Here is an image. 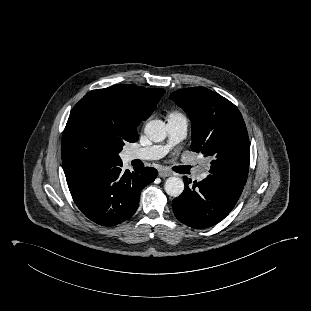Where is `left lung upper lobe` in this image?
<instances>
[{
	"instance_id": "left-lung-upper-lobe-1",
	"label": "left lung upper lobe",
	"mask_w": 311,
	"mask_h": 311,
	"mask_svg": "<svg viewBox=\"0 0 311 311\" xmlns=\"http://www.w3.org/2000/svg\"><path fill=\"white\" fill-rule=\"evenodd\" d=\"M170 98L192 122L191 149L212 159L210 174L244 186L249 171V138L238 108L203 88L180 89Z\"/></svg>"
}]
</instances>
